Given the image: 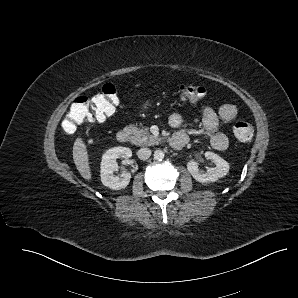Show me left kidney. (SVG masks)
Segmentation results:
<instances>
[{"label": "left kidney", "mask_w": 298, "mask_h": 298, "mask_svg": "<svg viewBox=\"0 0 298 298\" xmlns=\"http://www.w3.org/2000/svg\"><path fill=\"white\" fill-rule=\"evenodd\" d=\"M205 157L212 161L213 167H210L206 172L199 168V163L191 161L188 163V171L193 177L200 182H213L218 177L225 176L229 170L228 163L218 154L213 152H205Z\"/></svg>", "instance_id": "5707ae66"}]
</instances>
